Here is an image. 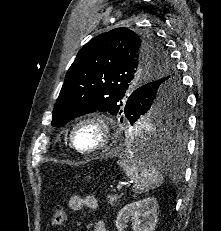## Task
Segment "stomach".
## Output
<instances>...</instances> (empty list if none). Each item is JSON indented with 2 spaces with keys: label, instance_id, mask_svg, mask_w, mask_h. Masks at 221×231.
<instances>
[{
  "label": "stomach",
  "instance_id": "stomach-1",
  "mask_svg": "<svg viewBox=\"0 0 221 231\" xmlns=\"http://www.w3.org/2000/svg\"><path fill=\"white\" fill-rule=\"evenodd\" d=\"M138 128L140 129V132L146 131L145 125H140V126H138ZM131 131L134 132V128H132Z\"/></svg>",
  "mask_w": 221,
  "mask_h": 231
}]
</instances>
